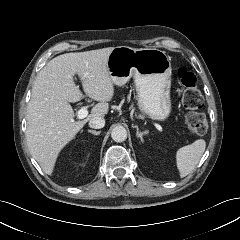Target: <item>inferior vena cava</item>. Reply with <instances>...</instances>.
I'll return each instance as SVG.
<instances>
[{
    "mask_svg": "<svg viewBox=\"0 0 240 240\" xmlns=\"http://www.w3.org/2000/svg\"><path fill=\"white\" fill-rule=\"evenodd\" d=\"M104 125H105V119L101 116H95L91 118L89 121L90 128L100 129V128H103Z\"/></svg>",
    "mask_w": 240,
    "mask_h": 240,
    "instance_id": "602c4592",
    "label": "inferior vena cava"
}]
</instances>
